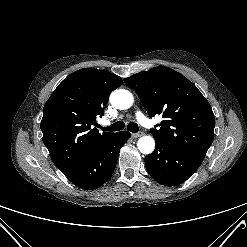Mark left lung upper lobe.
<instances>
[{
    "label": "left lung upper lobe",
    "mask_w": 247,
    "mask_h": 247,
    "mask_svg": "<svg viewBox=\"0 0 247 247\" xmlns=\"http://www.w3.org/2000/svg\"><path fill=\"white\" fill-rule=\"evenodd\" d=\"M150 116L161 114L155 140L205 157L214 139L215 117L208 101L183 75L168 67H155L125 78Z\"/></svg>",
    "instance_id": "obj_1"
}]
</instances>
